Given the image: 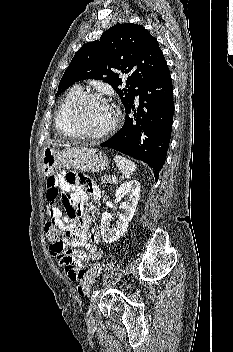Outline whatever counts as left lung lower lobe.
<instances>
[{"label":"left lung lower lobe","mask_w":233,"mask_h":352,"mask_svg":"<svg viewBox=\"0 0 233 352\" xmlns=\"http://www.w3.org/2000/svg\"><path fill=\"white\" fill-rule=\"evenodd\" d=\"M139 105L134 100L125 107L123 127L109 140L100 144L144 161L154 169L158 180L169 147L174 103L173 87L167 64L137 93ZM134 112V117L130 113Z\"/></svg>","instance_id":"1"}]
</instances>
